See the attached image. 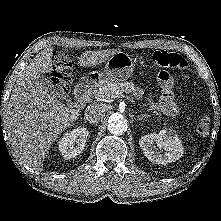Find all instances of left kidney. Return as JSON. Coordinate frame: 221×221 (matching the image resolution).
Returning a JSON list of instances; mask_svg holds the SVG:
<instances>
[{
  "instance_id": "1",
  "label": "left kidney",
  "mask_w": 221,
  "mask_h": 221,
  "mask_svg": "<svg viewBox=\"0 0 221 221\" xmlns=\"http://www.w3.org/2000/svg\"><path fill=\"white\" fill-rule=\"evenodd\" d=\"M139 145L144 155L153 163L166 165L183 155V145L172 130H161L158 134L142 136Z\"/></svg>"
}]
</instances>
